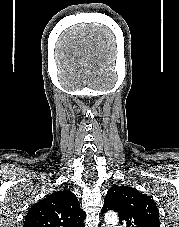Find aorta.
Listing matches in <instances>:
<instances>
[{"label":"aorta","mask_w":179,"mask_h":227,"mask_svg":"<svg viewBox=\"0 0 179 227\" xmlns=\"http://www.w3.org/2000/svg\"><path fill=\"white\" fill-rule=\"evenodd\" d=\"M105 222L108 224V227H110L109 225H116L118 222V216L115 212H108L105 215Z\"/></svg>","instance_id":"aorta-1"}]
</instances>
